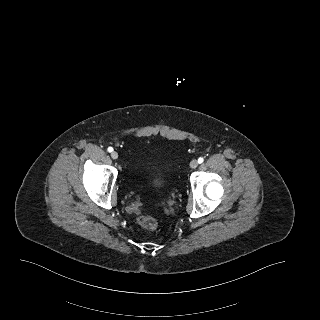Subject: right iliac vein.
<instances>
[{
	"label": "right iliac vein",
	"mask_w": 320,
	"mask_h": 320,
	"mask_svg": "<svg viewBox=\"0 0 320 320\" xmlns=\"http://www.w3.org/2000/svg\"><path fill=\"white\" fill-rule=\"evenodd\" d=\"M111 157H112V159H114V160H116L117 158H118V153L117 152H112L111 153Z\"/></svg>",
	"instance_id": "1"
}]
</instances>
